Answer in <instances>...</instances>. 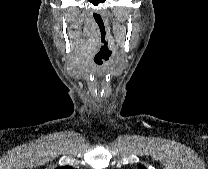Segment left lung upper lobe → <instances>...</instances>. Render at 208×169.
<instances>
[{
	"label": "left lung upper lobe",
	"mask_w": 208,
	"mask_h": 169,
	"mask_svg": "<svg viewBox=\"0 0 208 169\" xmlns=\"http://www.w3.org/2000/svg\"><path fill=\"white\" fill-rule=\"evenodd\" d=\"M139 169H146L143 165H139Z\"/></svg>",
	"instance_id": "left-lung-upper-lobe-1"
}]
</instances>
